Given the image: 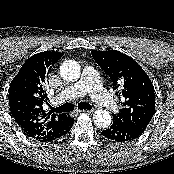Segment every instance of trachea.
<instances>
[{"label":"trachea","mask_w":174,"mask_h":174,"mask_svg":"<svg viewBox=\"0 0 174 174\" xmlns=\"http://www.w3.org/2000/svg\"><path fill=\"white\" fill-rule=\"evenodd\" d=\"M92 106L87 102H80L78 104V109H86L91 110ZM74 110V105L72 103H65L59 107H51L52 112L63 113V112H71Z\"/></svg>","instance_id":"3493384b"}]
</instances>
